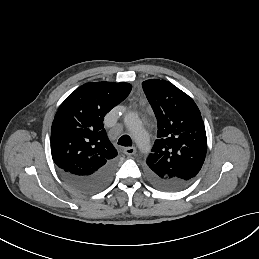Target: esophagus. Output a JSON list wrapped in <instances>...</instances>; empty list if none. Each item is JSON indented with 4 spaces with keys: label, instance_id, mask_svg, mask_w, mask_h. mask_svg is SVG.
<instances>
[{
    "label": "esophagus",
    "instance_id": "obj_1",
    "mask_svg": "<svg viewBox=\"0 0 259 259\" xmlns=\"http://www.w3.org/2000/svg\"><path fill=\"white\" fill-rule=\"evenodd\" d=\"M123 152L126 155H134L136 154L137 150L135 147H127V148H124Z\"/></svg>",
    "mask_w": 259,
    "mask_h": 259
}]
</instances>
